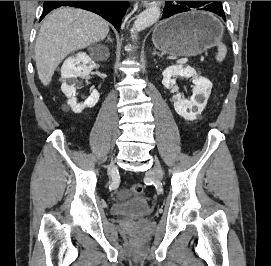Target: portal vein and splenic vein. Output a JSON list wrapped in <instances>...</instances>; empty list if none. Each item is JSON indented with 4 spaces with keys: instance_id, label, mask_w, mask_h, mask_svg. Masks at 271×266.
Returning a JSON list of instances; mask_svg holds the SVG:
<instances>
[{
    "instance_id": "18ae733b",
    "label": "portal vein and splenic vein",
    "mask_w": 271,
    "mask_h": 266,
    "mask_svg": "<svg viewBox=\"0 0 271 266\" xmlns=\"http://www.w3.org/2000/svg\"><path fill=\"white\" fill-rule=\"evenodd\" d=\"M187 62H188V58H182V59L177 60V63H180V64H185Z\"/></svg>"
}]
</instances>
